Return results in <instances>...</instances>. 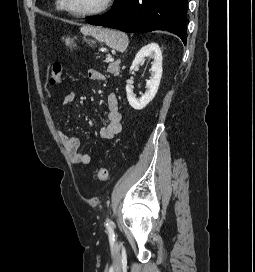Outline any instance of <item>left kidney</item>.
Listing matches in <instances>:
<instances>
[{
	"label": "left kidney",
	"mask_w": 255,
	"mask_h": 272,
	"mask_svg": "<svg viewBox=\"0 0 255 272\" xmlns=\"http://www.w3.org/2000/svg\"><path fill=\"white\" fill-rule=\"evenodd\" d=\"M151 57L153 59L151 67V77L146 83V92L140 97L136 98L133 90L129 84L126 85V93L129 104L136 110L143 109L155 97L162 76V53L157 43H150L144 46L135 56V59L130 67L132 71L135 67L142 64L145 58Z\"/></svg>",
	"instance_id": "5707ae66"
}]
</instances>
